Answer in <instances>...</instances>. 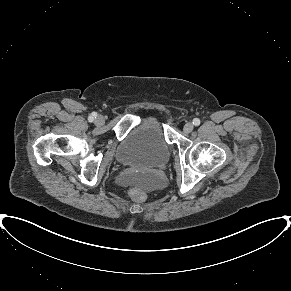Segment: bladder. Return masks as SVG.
Wrapping results in <instances>:
<instances>
[{
    "label": "bladder",
    "instance_id": "1",
    "mask_svg": "<svg viewBox=\"0 0 291 291\" xmlns=\"http://www.w3.org/2000/svg\"><path fill=\"white\" fill-rule=\"evenodd\" d=\"M170 152L161 123L154 117H147L121 141L116 160L127 166L158 168L169 161Z\"/></svg>",
    "mask_w": 291,
    "mask_h": 291
}]
</instances>
